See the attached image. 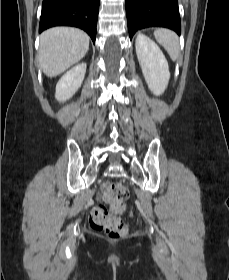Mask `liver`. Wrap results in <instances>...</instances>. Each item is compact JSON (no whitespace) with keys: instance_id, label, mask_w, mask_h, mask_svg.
Segmentation results:
<instances>
[{"instance_id":"1","label":"liver","mask_w":229,"mask_h":280,"mask_svg":"<svg viewBox=\"0 0 229 280\" xmlns=\"http://www.w3.org/2000/svg\"><path fill=\"white\" fill-rule=\"evenodd\" d=\"M89 49V37L80 29L54 27L40 36L39 63L48 77H56L80 61Z\"/></svg>"}]
</instances>
